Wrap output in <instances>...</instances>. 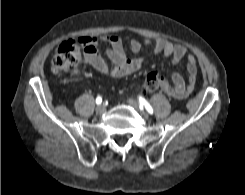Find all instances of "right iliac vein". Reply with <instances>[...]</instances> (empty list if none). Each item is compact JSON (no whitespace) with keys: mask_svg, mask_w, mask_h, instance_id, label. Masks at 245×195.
Listing matches in <instances>:
<instances>
[{"mask_svg":"<svg viewBox=\"0 0 245 195\" xmlns=\"http://www.w3.org/2000/svg\"><path fill=\"white\" fill-rule=\"evenodd\" d=\"M105 110H106V107H105L104 104H101V105L97 106V108H96V111H97L99 114L104 113Z\"/></svg>","mask_w":245,"mask_h":195,"instance_id":"obj_1","label":"right iliac vein"}]
</instances>
